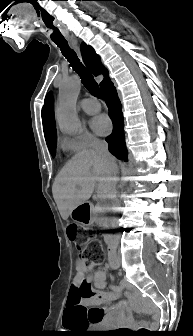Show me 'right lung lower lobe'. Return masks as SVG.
<instances>
[{"label":"right lung lower lobe","mask_w":193,"mask_h":336,"mask_svg":"<svg viewBox=\"0 0 193 336\" xmlns=\"http://www.w3.org/2000/svg\"><path fill=\"white\" fill-rule=\"evenodd\" d=\"M101 91L113 121V132L106 138L109 144V151L118 159L126 162L128 152L124 140V121L120 100L113 83L109 80L105 82Z\"/></svg>","instance_id":"98d812e1"}]
</instances>
